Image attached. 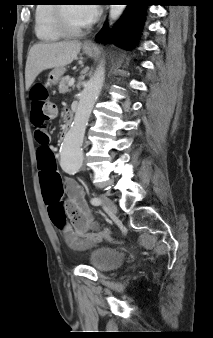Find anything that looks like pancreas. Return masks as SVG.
<instances>
[{
  "label": "pancreas",
  "instance_id": "obj_1",
  "mask_svg": "<svg viewBox=\"0 0 213 338\" xmlns=\"http://www.w3.org/2000/svg\"><path fill=\"white\" fill-rule=\"evenodd\" d=\"M69 77H63L59 82V93L64 94L70 91L69 89Z\"/></svg>",
  "mask_w": 213,
  "mask_h": 338
}]
</instances>
